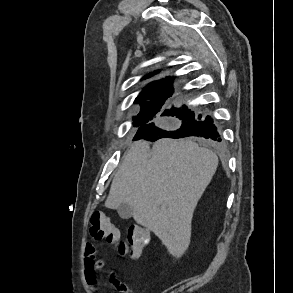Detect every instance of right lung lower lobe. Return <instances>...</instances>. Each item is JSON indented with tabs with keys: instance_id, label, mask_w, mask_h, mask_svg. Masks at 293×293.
<instances>
[{
	"instance_id": "1",
	"label": "right lung lower lobe",
	"mask_w": 293,
	"mask_h": 293,
	"mask_svg": "<svg viewBox=\"0 0 293 293\" xmlns=\"http://www.w3.org/2000/svg\"><path fill=\"white\" fill-rule=\"evenodd\" d=\"M161 116L174 117L181 122L176 130H163L158 128L154 123H149L141 126L134 139H147L156 141L160 138H182L188 136H198L215 141H221L220 135L217 132L213 120L201 114H195L183 105L181 108L172 107L170 110H165Z\"/></svg>"
}]
</instances>
